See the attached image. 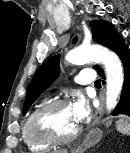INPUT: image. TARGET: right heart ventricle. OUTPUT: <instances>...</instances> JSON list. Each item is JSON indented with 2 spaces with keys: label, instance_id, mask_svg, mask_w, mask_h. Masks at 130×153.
Listing matches in <instances>:
<instances>
[{
  "label": "right heart ventricle",
  "instance_id": "1",
  "mask_svg": "<svg viewBox=\"0 0 130 153\" xmlns=\"http://www.w3.org/2000/svg\"><path fill=\"white\" fill-rule=\"evenodd\" d=\"M46 100L42 101L40 104H38L28 115V117L26 118V120L24 121L23 125H22V130H21V138L23 143L32 151H36V152H43V151H47L51 148V144L48 143H42V142H37L35 140H33L28 132H27V122L28 119L30 117V115L35 111V109H37L40 105H42L43 103H45Z\"/></svg>",
  "mask_w": 130,
  "mask_h": 153
}]
</instances>
